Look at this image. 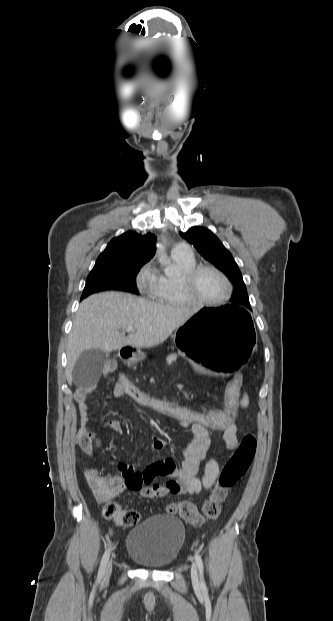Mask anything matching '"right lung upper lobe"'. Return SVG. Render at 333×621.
<instances>
[{
	"mask_svg": "<svg viewBox=\"0 0 333 621\" xmlns=\"http://www.w3.org/2000/svg\"><path fill=\"white\" fill-rule=\"evenodd\" d=\"M155 242L156 237L151 233L139 235L135 232H125L110 241L96 263L118 261L147 263L154 256Z\"/></svg>",
	"mask_w": 333,
	"mask_h": 621,
	"instance_id": "obj_1",
	"label": "right lung upper lobe"
}]
</instances>
